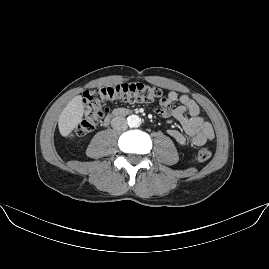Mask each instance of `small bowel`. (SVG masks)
<instances>
[{
  "label": "small bowel",
  "instance_id": "1",
  "mask_svg": "<svg viewBox=\"0 0 269 269\" xmlns=\"http://www.w3.org/2000/svg\"><path fill=\"white\" fill-rule=\"evenodd\" d=\"M175 103L179 105L173 107ZM156 112L161 117H173L182 126L186 135L176 129L168 131L180 145L190 142L194 146H204L214 139L212 124L200 115L199 106L187 95L179 96L175 91L168 92Z\"/></svg>",
  "mask_w": 269,
  "mask_h": 269
}]
</instances>
